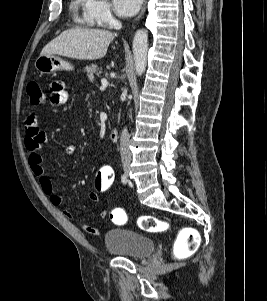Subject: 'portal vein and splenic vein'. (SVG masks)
Here are the masks:
<instances>
[{
    "label": "portal vein and splenic vein",
    "mask_w": 267,
    "mask_h": 301,
    "mask_svg": "<svg viewBox=\"0 0 267 301\" xmlns=\"http://www.w3.org/2000/svg\"><path fill=\"white\" fill-rule=\"evenodd\" d=\"M101 84H102V88L104 89V88H106L107 86H108V81L105 79V78H103L102 80H101Z\"/></svg>",
    "instance_id": "portal-vein-and-splenic-vein-1"
}]
</instances>
